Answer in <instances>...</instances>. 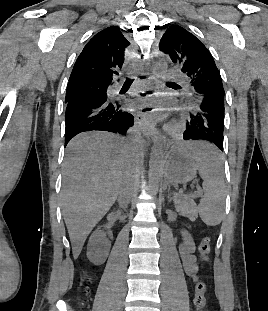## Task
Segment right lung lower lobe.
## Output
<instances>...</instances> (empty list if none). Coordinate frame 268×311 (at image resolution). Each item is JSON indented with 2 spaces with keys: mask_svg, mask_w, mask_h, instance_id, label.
Listing matches in <instances>:
<instances>
[{
  "mask_svg": "<svg viewBox=\"0 0 268 311\" xmlns=\"http://www.w3.org/2000/svg\"><path fill=\"white\" fill-rule=\"evenodd\" d=\"M133 120V115L124 111L120 102L108 98L72 97L67 101L65 113V146L75 135L85 131L125 135Z\"/></svg>",
  "mask_w": 268,
  "mask_h": 311,
  "instance_id": "right-lung-lower-lobe-1",
  "label": "right lung lower lobe"
}]
</instances>
